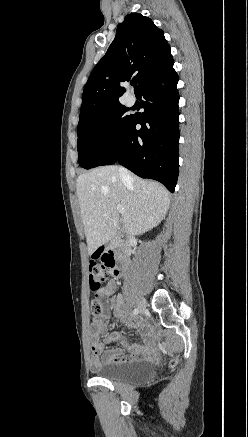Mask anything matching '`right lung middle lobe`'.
I'll return each instance as SVG.
<instances>
[{
	"label": "right lung middle lobe",
	"instance_id": "1",
	"mask_svg": "<svg viewBox=\"0 0 248 437\" xmlns=\"http://www.w3.org/2000/svg\"><path fill=\"white\" fill-rule=\"evenodd\" d=\"M119 104L95 114L78 125V160L85 169L93 168L116 144L132 115Z\"/></svg>",
	"mask_w": 248,
	"mask_h": 437
}]
</instances>
